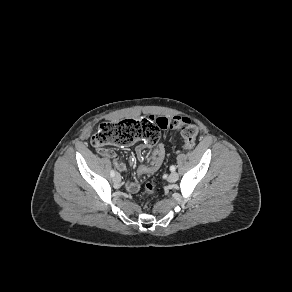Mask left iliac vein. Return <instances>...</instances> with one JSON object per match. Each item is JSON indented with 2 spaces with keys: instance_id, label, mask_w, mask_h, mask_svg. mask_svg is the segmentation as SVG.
<instances>
[{
  "instance_id": "obj_1",
  "label": "left iliac vein",
  "mask_w": 292,
  "mask_h": 292,
  "mask_svg": "<svg viewBox=\"0 0 292 292\" xmlns=\"http://www.w3.org/2000/svg\"><path fill=\"white\" fill-rule=\"evenodd\" d=\"M178 173H176V172H172L169 176H168V181L170 182V183H174V182H176L177 180H178Z\"/></svg>"
}]
</instances>
